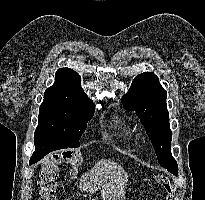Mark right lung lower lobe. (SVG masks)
<instances>
[{"label": "right lung lower lobe", "mask_w": 205, "mask_h": 200, "mask_svg": "<svg viewBox=\"0 0 205 200\" xmlns=\"http://www.w3.org/2000/svg\"><path fill=\"white\" fill-rule=\"evenodd\" d=\"M35 152L33 153L29 164L36 163L42 159L46 154L54 150L63 149L65 146L56 138L48 135L41 137H34Z\"/></svg>", "instance_id": "1"}]
</instances>
